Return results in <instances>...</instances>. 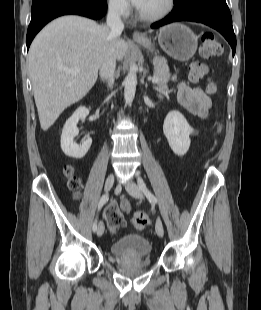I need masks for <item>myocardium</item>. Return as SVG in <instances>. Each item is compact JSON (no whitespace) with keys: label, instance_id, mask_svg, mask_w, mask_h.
<instances>
[{"label":"myocardium","instance_id":"f54148a6","mask_svg":"<svg viewBox=\"0 0 261 310\" xmlns=\"http://www.w3.org/2000/svg\"><path fill=\"white\" fill-rule=\"evenodd\" d=\"M174 6H175V0H166V4L164 8L161 9L159 12L154 13V14H144L138 10L137 16L140 20L145 21V22L158 21V20L165 18L167 15H169L174 9Z\"/></svg>","mask_w":261,"mask_h":310}]
</instances>
